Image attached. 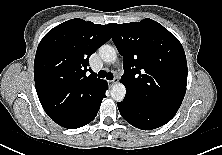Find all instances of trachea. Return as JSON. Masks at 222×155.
<instances>
[{
  "label": "trachea",
  "instance_id": "obj_1",
  "mask_svg": "<svg viewBox=\"0 0 222 155\" xmlns=\"http://www.w3.org/2000/svg\"><path fill=\"white\" fill-rule=\"evenodd\" d=\"M99 78H106L107 80H113L114 76L111 72H106L105 70H100L98 72Z\"/></svg>",
  "mask_w": 222,
  "mask_h": 155
}]
</instances>
